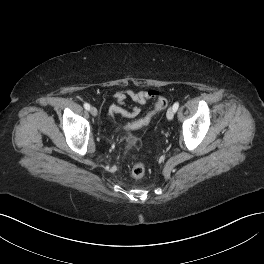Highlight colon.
<instances>
[{
  "instance_id": "colon-1",
  "label": "colon",
  "mask_w": 264,
  "mask_h": 264,
  "mask_svg": "<svg viewBox=\"0 0 264 264\" xmlns=\"http://www.w3.org/2000/svg\"><path fill=\"white\" fill-rule=\"evenodd\" d=\"M167 106V100L164 97H158L153 105L152 108L140 119L130 123L128 125L129 129L135 130V129H139L143 126H146L147 124L150 123V121L152 120V118L160 111H162L163 109H165ZM146 172V167L143 163H136L133 165L132 169H131V175L134 178H141L145 175Z\"/></svg>"
}]
</instances>
